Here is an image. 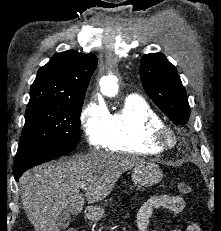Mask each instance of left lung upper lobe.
Returning <instances> with one entry per match:
<instances>
[{"label":"left lung upper lobe","mask_w":221,"mask_h":231,"mask_svg":"<svg viewBox=\"0 0 221 231\" xmlns=\"http://www.w3.org/2000/svg\"><path fill=\"white\" fill-rule=\"evenodd\" d=\"M139 72L144 89L154 103L174 124H186L190 107L176 68L162 53H151L141 58Z\"/></svg>","instance_id":"obj_1"}]
</instances>
